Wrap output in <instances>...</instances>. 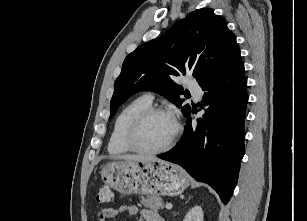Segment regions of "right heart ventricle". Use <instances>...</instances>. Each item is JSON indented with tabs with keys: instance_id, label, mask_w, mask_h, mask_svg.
Here are the masks:
<instances>
[{
	"instance_id": "right-heart-ventricle-1",
	"label": "right heart ventricle",
	"mask_w": 307,
	"mask_h": 221,
	"mask_svg": "<svg viewBox=\"0 0 307 221\" xmlns=\"http://www.w3.org/2000/svg\"><path fill=\"white\" fill-rule=\"evenodd\" d=\"M151 106V101L145 96L136 98L124 106L118 113L108 142V152L120 155L130 151L125 143V133L131 120L141 110Z\"/></svg>"
}]
</instances>
